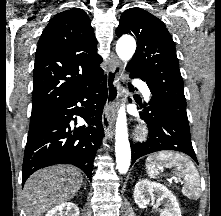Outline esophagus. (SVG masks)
I'll return each mask as SVG.
<instances>
[{
    "label": "esophagus",
    "mask_w": 221,
    "mask_h": 216,
    "mask_svg": "<svg viewBox=\"0 0 221 216\" xmlns=\"http://www.w3.org/2000/svg\"><path fill=\"white\" fill-rule=\"evenodd\" d=\"M112 66L107 73V100L102 113V126L107 138L113 137L115 105L120 95V79L123 75L121 63L115 54L111 55Z\"/></svg>",
    "instance_id": "1"
}]
</instances>
